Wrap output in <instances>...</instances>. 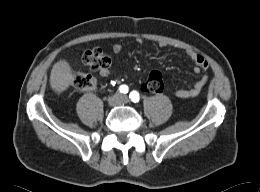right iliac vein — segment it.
I'll return each instance as SVG.
<instances>
[{"label": "right iliac vein", "mask_w": 260, "mask_h": 192, "mask_svg": "<svg viewBox=\"0 0 260 192\" xmlns=\"http://www.w3.org/2000/svg\"><path fill=\"white\" fill-rule=\"evenodd\" d=\"M121 97L119 94H114L113 96L110 97L108 104L109 106L113 107L116 106L120 103Z\"/></svg>", "instance_id": "right-iliac-vein-1"}]
</instances>
